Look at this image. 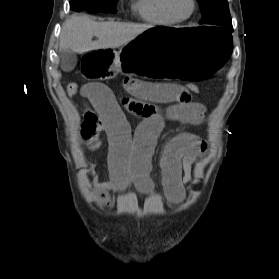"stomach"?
<instances>
[{"label": "stomach", "mask_w": 279, "mask_h": 279, "mask_svg": "<svg viewBox=\"0 0 279 279\" xmlns=\"http://www.w3.org/2000/svg\"><path fill=\"white\" fill-rule=\"evenodd\" d=\"M211 29H222V24L153 25L119 51L82 50L75 75L83 82H109L124 70V75L137 72L152 82H214L229 63L233 44L225 40L230 34Z\"/></svg>", "instance_id": "stomach-1"}]
</instances>
